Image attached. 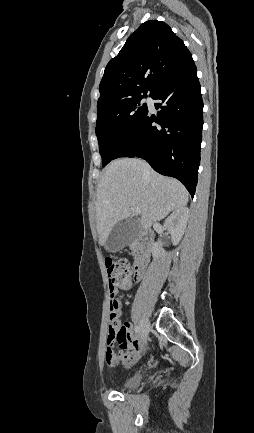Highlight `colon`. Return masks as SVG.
Instances as JSON below:
<instances>
[{
    "label": "colon",
    "mask_w": 254,
    "mask_h": 433,
    "mask_svg": "<svg viewBox=\"0 0 254 433\" xmlns=\"http://www.w3.org/2000/svg\"><path fill=\"white\" fill-rule=\"evenodd\" d=\"M105 266L110 285L111 325L109 327V342L111 343L117 340L120 334V324L118 322V300L114 296L113 291L116 288H120L123 290L130 289L132 266L130 262L126 259L111 257L105 260Z\"/></svg>",
    "instance_id": "obj_1"
}]
</instances>
